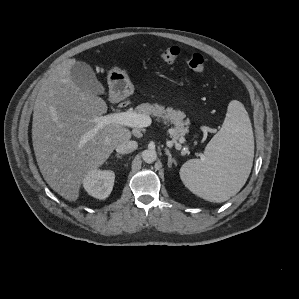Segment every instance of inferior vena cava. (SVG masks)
Instances as JSON below:
<instances>
[{
	"instance_id": "inferior-vena-cava-1",
	"label": "inferior vena cava",
	"mask_w": 299,
	"mask_h": 299,
	"mask_svg": "<svg viewBox=\"0 0 299 299\" xmlns=\"http://www.w3.org/2000/svg\"><path fill=\"white\" fill-rule=\"evenodd\" d=\"M136 141L125 140L119 143L116 147V152L119 154H128L133 152L137 148Z\"/></svg>"
}]
</instances>
